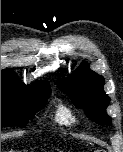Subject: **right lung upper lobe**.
Here are the masks:
<instances>
[{"mask_svg":"<svg viewBox=\"0 0 123 152\" xmlns=\"http://www.w3.org/2000/svg\"><path fill=\"white\" fill-rule=\"evenodd\" d=\"M1 86L10 87L17 90L21 94H29V92H33L34 94L38 95L51 93L50 85L47 81L37 82L31 87L22 86V84L17 81L15 73L10 70L1 72Z\"/></svg>","mask_w":123,"mask_h":152,"instance_id":"right-lung-upper-lobe-1","label":"right lung upper lobe"}]
</instances>
